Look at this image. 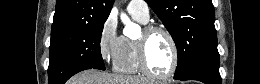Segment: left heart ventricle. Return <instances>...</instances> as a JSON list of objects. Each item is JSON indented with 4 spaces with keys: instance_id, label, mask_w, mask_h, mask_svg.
<instances>
[{
    "instance_id": "1",
    "label": "left heart ventricle",
    "mask_w": 260,
    "mask_h": 84,
    "mask_svg": "<svg viewBox=\"0 0 260 84\" xmlns=\"http://www.w3.org/2000/svg\"><path fill=\"white\" fill-rule=\"evenodd\" d=\"M146 57L150 68L155 73L164 74L169 71L172 62V51L170 43L164 34L155 32L148 37Z\"/></svg>"
}]
</instances>
